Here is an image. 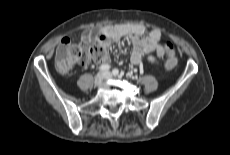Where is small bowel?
Here are the masks:
<instances>
[{
    "label": "small bowel",
    "instance_id": "small-bowel-1",
    "mask_svg": "<svg viewBox=\"0 0 230 155\" xmlns=\"http://www.w3.org/2000/svg\"><path fill=\"white\" fill-rule=\"evenodd\" d=\"M145 27L139 24H118L104 26L96 31L85 30L80 35L83 43L97 42L105 48V54L95 61L98 64L107 63L110 59L107 48L112 44L128 38L133 43L131 62L140 64L146 55L155 53L158 58L168 55L165 45L160 43L162 34L159 29H153L146 37H143Z\"/></svg>",
    "mask_w": 230,
    "mask_h": 155
}]
</instances>
